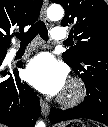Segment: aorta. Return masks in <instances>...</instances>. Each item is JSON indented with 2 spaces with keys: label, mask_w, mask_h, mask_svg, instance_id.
Segmentation results:
<instances>
[{
  "label": "aorta",
  "mask_w": 108,
  "mask_h": 127,
  "mask_svg": "<svg viewBox=\"0 0 108 127\" xmlns=\"http://www.w3.org/2000/svg\"><path fill=\"white\" fill-rule=\"evenodd\" d=\"M64 16V10L59 4H52L47 9V17L52 21L61 20ZM36 127H45L43 121H38L35 125Z\"/></svg>",
  "instance_id": "aorta-1"
}]
</instances>
